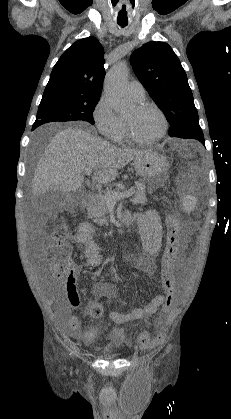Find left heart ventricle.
<instances>
[{
  "instance_id": "b2bd125f",
  "label": "left heart ventricle",
  "mask_w": 231,
  "mask_h": 419,
  "mask_svg": "<svg viewBox=\"0 0 231 419\" xmlns=\"http://www.w3.org/2000/svg\"><path fill=\"white\" fill-rule=\"evenodd\" d=\"M126 120L130 123L133 133L141 139L157 136L163 127L160 115L154 110H138L136 107L129 112Z\"/></svg>"
}]
</instances>
